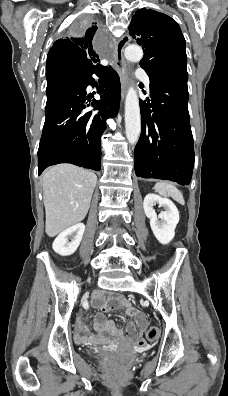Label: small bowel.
Listing matches in <instances>:
<instances>
[{"instance_id":"1","label":"small bowel","mask_w":228,"mask_h":396,"mask_svg":"<svg viewBox=\"0 0 228 396\" xmlns=\"http://www.w3.org/2000/svg\"><path fill=\"white\" fill-rule=\"evenodd\" d=\"M93 306L102 311L97 314L94 321V328L100 335H111L118 338L126 336L129 340L138 344H143L142 335L147 327V318L143 312L132 306L123 296L114 294H98L93 300ZM114 310L125 311L133 320L126 325V330L116 327L111 321L106 319L104 313ZM77 339L80 341H88L91 336L83 332L81 325L78 326Z\"/></svg>"}]
</instances>
